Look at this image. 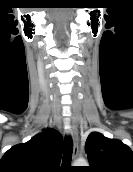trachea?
<instances>
[{
  "instance_id": "3493384b",
  "label": "trachea",
  "mask_w": 133,
  "mask_h": 172,
  "mask_svg": "<svg viewBox=\"0 0 133 172\" xmlns=\"http://www.w3.org/2000/svg\"><path fill=\"white\" fill-rule=\"evenodd\" d=\"M72 150H73V143L71 138H66L64 143V151H63V166H69L72 159Z\"/></svg>"
}]
</instances>
